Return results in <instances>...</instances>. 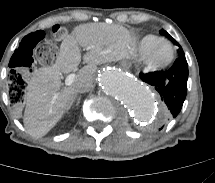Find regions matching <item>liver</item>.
I'll return each instance as SVG.
<instances>
[{
    "label": "liver",
    "instance_id": "obj_1",
    "mask_svg": "<svg viewBox=\"0 0 215 183\" xmlns=\"http://www.w3.org/2000/svg\"><path fill=\"white\" fill-rule=\"evenodd\" d=\"M134 45L135 39L120 25L100 22L75 27L62 41L55 63L37 69L28 82L23 116L27 132L37 138L46 135L76 99L77 84L93 82L97 65L127 58ZM80 46L88 51L83 56L87 65L70 86L63 87L61 74L76 70L81 62Z\"/></svg>",
    "mask_w": 215,
    "mask_h": 183
}]
</instances>
